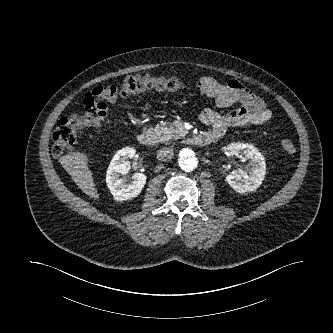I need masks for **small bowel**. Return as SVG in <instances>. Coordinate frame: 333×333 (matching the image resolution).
<instances>
[{
    "label": "small bowel",
    "instance_id": "1",
    "mask_svg": "<svg viewBox=\"0 0 333 333\" xmlns=\"http://www.w3.org/2000/svg\"><path fill=\"white\" fill-rule=\"evenodd\" d=\"M195 87L200 93L214 98L218 107L240 104L239 108L226 114L213 109L201 112L200 120L211 128L208 133L214 138L222 136L229 126L265 125L272 117L263 99L238 80L229 79L221 83L210 76H203L195 81Z\"/></svg>",
    "mask_w": 333,
    "mask_h": 333
}]
</instances>
